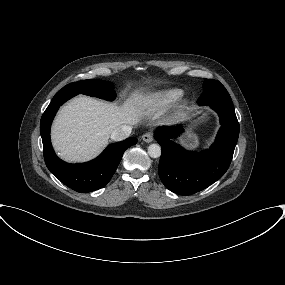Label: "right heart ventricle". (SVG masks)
<instances>
[{
	"label": "right heart ventricle",
	"instance_id": "right-heart-ventricle-1",
	"mask_svg": "<svg viewBox=\"0 0 285 285\" xmlns=\"http://www.w3.org/2000/svg\"><path fill=\"white\" fill-rule=\"evenodd\" d=\"M182 96L181 89L162 90L148 97L147 104L157 109L166 108L179 101Z\"/></svg>",
	"mask_w": 285,
	"mask_h": 285
}]
</instances>
